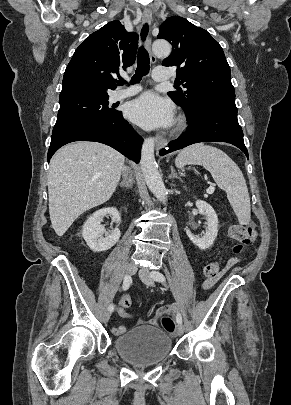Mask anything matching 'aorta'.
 <instances>
[{"label": "aorta", "mask_w": 291, "mask_h": 405, "mask_svg": "<svg viewBox=\"0 0 291 405\" xmlns=\"http://www.w3.org/2000/svg\"><path fill=\"white\" fill-rule=\"evenodd\" d=\"M152 50L157 56H168L171 53V45L166 40H156ZM155 139L148 138L143 142L141 149V169L149 190L160 200L167 199V190L158 171L154 156Z\"/></svg>", "instance_id": "obj_1"}]
</instances>
